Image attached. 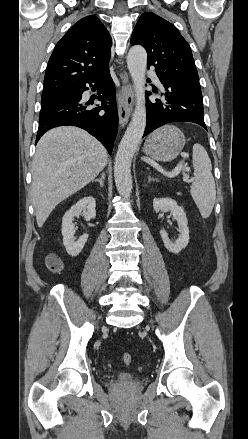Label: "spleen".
Returning a JSON list of instances; mask_svg holds the SVG:
<instances>
[{
  "mask_svg": "<svg viewBox=\"0 0 248 439\" xmlns=\"http://www.w3.org/2000/svg\"><path fill=\"white\" fill-rule=\"evenodd\" d=\"M192 162L194 181L191 185V196L201 216L208 218L216 200V187L211 173V160L205 148L199 143L193 145Z\"/></svg>",
  "mask_w": 248,
  "mask_h": 439,
  "instance_id": "3e777b00",
  "label": "spleen"
}]
</instances>
